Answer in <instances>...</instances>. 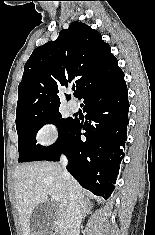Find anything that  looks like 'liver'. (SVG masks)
I'll return each mask as SVG.
<instances>
[{
	"instance_id": "1",
	"label": "liver",
	"mask_w": 155,
	"mask_h": 235,
	"mask_svg": "<svg viewBox=\"0 0 155 235\" xmlns=\"http://www.w3.org/2000/svg\"><path fill=\"white\" fill-rule=\"evenodd\" d=\"M14 188L17 210L23 235H30L31 215L40 203L48 201V195H58L60 205L58 218L66 220L68 208V190L63 169L58 163L37 162L19 165L14 172ZM78 204L85 198L84 189L71 176Z\"/></svg>"
}]
</instances>
